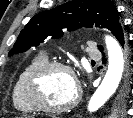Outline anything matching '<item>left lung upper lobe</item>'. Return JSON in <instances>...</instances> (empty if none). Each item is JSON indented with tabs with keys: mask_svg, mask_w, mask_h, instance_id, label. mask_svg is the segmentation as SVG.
<instances>
[{
	"mask_svg": "<svg viewBox=\"0 0 133 118\" xmlns=\"http://www.w3.org/2000/svg\"><path fill=\"white\" fill-rule=\"evenodd\" d=\"M100 26L113 30L120 25L119 14L109 0H72L54 9L42 11L35 15L20 32L9 56L37 46L47 37L59 38L63 28L70 31L81 27ZM102 50V46H98ZM129 94L128 87L117 91L111 101L113 116L125 111Z\"/></svg>",
	"mask_w": 133,
	"mask_h": 118,
	"instance_id": "1",
	"label": "left lung upper lobe"
}]
</instances>
